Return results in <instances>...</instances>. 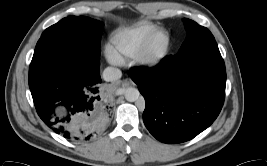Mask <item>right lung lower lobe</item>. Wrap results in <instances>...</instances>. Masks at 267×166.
I'll return each mask as SVG.
<instances>
[{"label": "right lung lower lobe", "instance_id": "obj_1", "mask_svg": "<svg viewBox=\"0 0 267 166\" xmlns=\"http://www.w3.org/2000/svg\"><path fill=\"white\" fill-rule=\"evenodd\" d=\"M98 54L58 35L41 36L29 69L36 111L55 133L85 141L103 130L111 110L101 85Z\"/></svg>", "mask_w": 267, "mask_h": 166}]
</instances>
